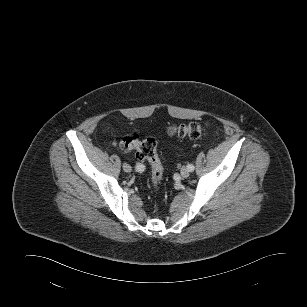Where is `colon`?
<instances>
[{
    "label": "colon",
    "instance_id": "colon-1",
    "mask_svg": "<svg viewBox=\"0 0 307 307\" xmlns=\"http://www.w3.org/2000/svg\"><path fill=\"white\" fill-rule=\"evenodd\" d=\"M206 132L205 126L196 122L188 124H172L168 128L169 135L179 137L199 138ZM124 153L134 152L137 159L148 161L152 169V183L158 187L163 178V167L157 155L156 141L152 138L140 139L136 134L124 137L120 143Z\"/></svg>",
    "mask_w": 307,
    "mask_h": 307
}]
</instances>
